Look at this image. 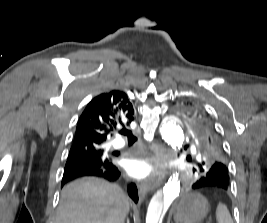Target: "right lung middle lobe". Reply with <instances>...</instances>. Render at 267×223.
Masks as SVG:
<instances>
[{
	"mask_svg": "<svg viewBox=\"0 0 267 223\" xmlns=\"http://www.w3.org/2000/svg\"><path fill=\"white\" fill-rule=\"evenodd\" d=\"M112 163L110 153L101 147L84 145L70 149L64 172L72 171L83 166L95 164L97 166Z\"/></svg>",
	"mask_w": 267,
	"mask_h": 223,
	"instance_id": "1",
	"label": "right lung middle lobe"
}]
</instances>
